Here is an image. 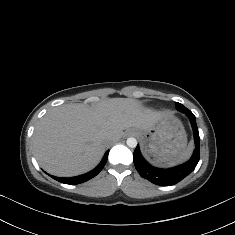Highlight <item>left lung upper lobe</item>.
<instances>
[{"label":"left lung upper lobe","instance_id":"5c2ea615","mask_svg":"<svg viewBox=\"0 0 235 235\" xmlns=\"http://www.w3.org/2000/svg\"><path fill=\"white\" fill-rule=\"evenodd\" d=\"M176 109L178 111H181L183 113H187V112H191L189 109H187L185 106H183L182 104L176 102Z\"/></svg>","mask_w":235,"mask_h":235}]
</instances>
